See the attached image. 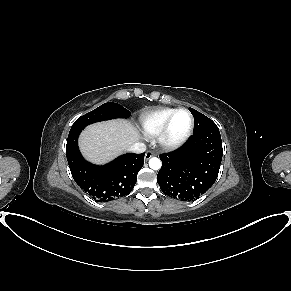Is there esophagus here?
<instances>
[{"label": "esophagus", "instance_id": "esophagus-1", "mask_svg": "<svg viewBox=\"0 0 291 291\" xmlns=\"http://www.w3.org/2000/svg\"><path fill=\"white\" fill-rule=\"evenodd\" d=\"M152 156H154V152L153 151H147L146 153H145V160H148V159H150Z\"/></svg>", "mask_w": 291, "mask_h": 291}]
</instances>
